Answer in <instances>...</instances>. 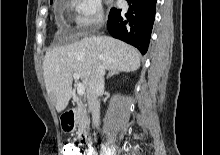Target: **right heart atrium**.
<instances>
[{"instance_id":"right-heart-atrium-1","label":"right heart atrium","mask_w":220,"mask_h":155,"mask_svg":"<svg viewBox=\"0 0 220 155\" xmlns=\"http://www.w3.org/2000/svg\"><path fill=\"white\" fill-rule=\"evenodd\" d=\"M74 22L81 31H91L103 21V7L101 0H72Z\"/></svg>"}]
</instances>
